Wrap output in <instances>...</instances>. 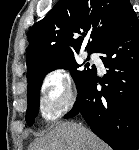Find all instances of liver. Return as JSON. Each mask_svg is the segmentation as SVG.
<instances>
[{"label": "liver", "mask_w": 139, "mask_h": 150, "mask_svg": "<svg viewBox=\"0 0 139 150\" xmlns=\"http://www.w3.org/2000/svg\"><path fill=\"white\" fill-rule=\"evenodd\" d=\"M29 150H110L92 131L73 122L55 126Z\"/></svg>", "instance_id": "6515ba94"}]
</instances>
